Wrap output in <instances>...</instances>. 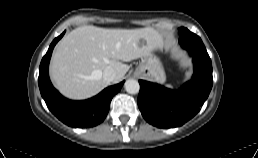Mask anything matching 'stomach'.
<instances>
[{"instance_id": "0dacf381", "label": "stomach", "mask_w": 258, "mask_h": 158, "mask_svg": "<svg viewBox=\"0 0 258 158\" xmlns=\"http://www.w3.org/2000/svg\"><path fill=\"white\" fill-rule=\"evenodd\" d=\"M134 75L138 77H145L158 83H164L166 80L162 63L156 56L152 54L144 57L141 60L136 70L134 71Z\"/></svg>"}]
</instances>
